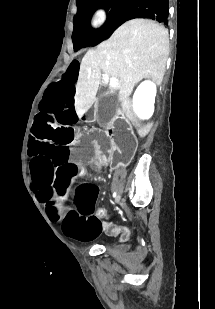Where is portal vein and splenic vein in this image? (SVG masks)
Returning a JSON list of instances; mask_svg holds the SVG:
<instances>
[{"label":"portal vein and splenic vein","instance_id":"portal-vein-and-splenic-vein-1","mask_svg":"<svg viewBox=\"0 0 215 309\" xmlns=\"http://www.w3.org/2000/svg\"><path fill=\"white\" fill-rule=\"evenodd\" d=\"M105 78V82H109V86H118L119 84V80L118 78H109V76H107V74H104Z\"/></svg>","mask_w":215,"mask_h":309}]
</instances>
